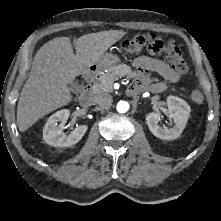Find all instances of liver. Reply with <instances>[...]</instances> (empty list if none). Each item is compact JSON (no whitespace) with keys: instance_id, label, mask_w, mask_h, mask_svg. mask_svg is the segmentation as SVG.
Wrapping results in <instances>:
<instances>
[{"instance_id":"6515ba94","label":"liver","mask_w":221,"mask_h":221,"mask_svg":"<svg viewBox=\"0 0 221 221\" xmlns=\"http://www.w3.org/2000/svg\"><path fill=\"white\" fill-rule=\"evenodd\" d=\"M123 34L109 30L83 35L74 41L76 54L69 37H57L44 44L34 57L30 75L20 93L19 130L24 132L38 119L67 105L73 97L68 85L77 76L87 73Z\"/></svg>"}]
</instances>
